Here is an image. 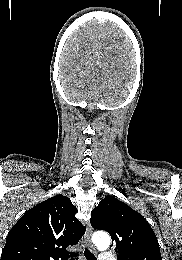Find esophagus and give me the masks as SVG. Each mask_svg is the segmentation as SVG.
Returning a JSON list of instances; mask_svg holds the SVG:
<instances>
[{
    "label": "esophagus",
    "instance_id": "1",
    "mask_svg": "<svg viewBox=\"0 0 182 260\" xmlns=\"http://www.w3.org/2000/svg\"><path fill=\"white\" fill-rule=\"evenodd\" d=\"M91 236H92V227L89 224L87 226L86 232L84 234V243L86 244L87 247L93 249V245H92V242H91Z\"/></svg>",
    "mask_w": 182,
    "mask_h": 260
}]
</instances>
